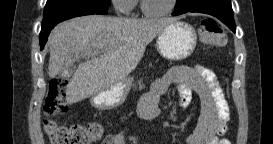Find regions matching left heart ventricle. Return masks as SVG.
I'll return each instance as SVG.
<instances>
[{"instance_id":"left-heart-ventricle-1","label":"left heart ventricle","mask_w":273,"mask_h":144,"mask_svg":"<svg viewBox=\"0 0 273 144\" xmlns=\"http://www.w3.org/2000/svg\"><path fill=\"white\" fill-rule=\"evenodd\" d=\"M171 0H146L150 10H161L169 6Z\"/></svg>"}]
</instances>
